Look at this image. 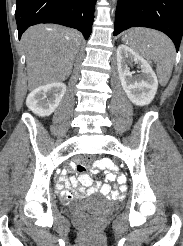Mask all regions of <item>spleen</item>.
Segmentation results:
<instances>
[{
  "label": "spleen",
  "mask_w": 183,
  "mask_h": 246,
  "mask_svg": "<svg viewBox=\"0 0 183 246\" xmlns=\"http://www.w3.org/2000/svg\"><path fill=\"white\" fill-rule=\"evenodd\" d=\"M130 33L137 38L130 45L157 62V75L161 85L165 86L171 77L175 61L174 44L165 34L153 29L138 28Z\"/></svg>",
  "instance_id": "obj_1"
}]
</instances>
